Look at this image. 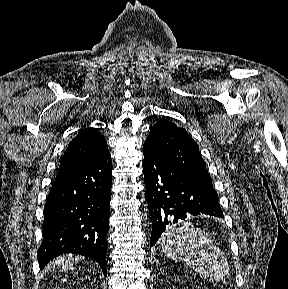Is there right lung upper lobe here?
<instances>
[{"instance_id":"1","label":"right lung upper lobe","mask_w":288,"mask_h":289,"mask_svg":"<svg viewBox=\"0 0 288 289\" xmlns=\"http://www.w3.org/2000/svg\"><path fill=\"white\" fill-rule=\"evenodd\" d=\"M108 153L107 142L102 134L95 128H87L69 143L59 167L86 164Z\"/></svg>"}]
</instances>
